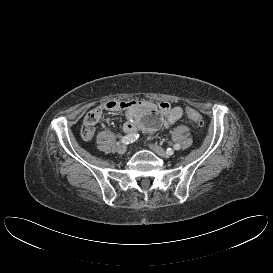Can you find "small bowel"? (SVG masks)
Wrapping results in <instances>:
<instances>
[{
    "label": "small bowel",
    "instance_id": "small-bowel-1",
    "mask_svg": "<svg viewBox=\"0 0 273 273\" xmlns=\"http://www.w3.org/2000/svg\"><path fill=\"white\" fill-rule=\"evenodd\" d=\"M106 112H121L125 118L124 130L135 134L137 130L152 134L166 129L180 120L182 108L163 101L154 104L145 100H110L91 109L85 116L81 137L88 141L94 137L95 126Z\"/></svg>",
    "mask_w": 273,
    "mask_h": 273
}]
</instances>
